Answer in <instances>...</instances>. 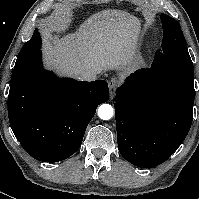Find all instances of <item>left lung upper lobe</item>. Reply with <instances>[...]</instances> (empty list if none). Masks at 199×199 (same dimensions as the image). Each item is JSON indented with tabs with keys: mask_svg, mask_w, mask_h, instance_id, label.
<instances>
[{
	"mask_svg": "<svg viewBox=\"0 0 199 199\" xmlns=\"http://www.w3.org/2000/svg\"><path fill=\"white\" fill-rule=\"evenodd\" d=\"M161 21L163 24L162 51H157L154 64L156 66H177L194 72L193 63L178 21L166 14L161 15Z\"/></svg>",
	"mask_w": 199,
	"mask_h": 199,
	"instance_id": "left-lung-upper-lobe-1",
	"label": "left lung upper lobe"
}]
</instances>
